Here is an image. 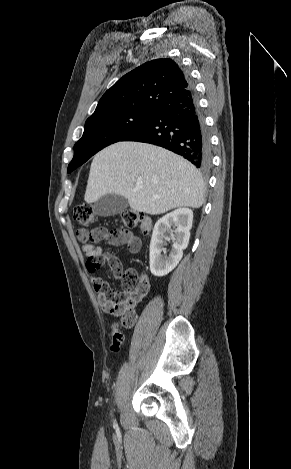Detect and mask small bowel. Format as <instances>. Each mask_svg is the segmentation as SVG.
<instances>
[{
  "mask_svg": "<svg viewBox=\"0 0 291 469\" xmlns=\"http://www.w3.org/2000/svg\"><path fill=\"white\" fill-rule=\"evenodd\" d=\"M77 238L79 242L81 243V251L83 255L87 257V261L90 258L100 257L104 260V263L109 264L112 268L114 267L120 268L121 266L120 261L110 252L104 251L101 247L95 246L94 244H92V242L86 238L84 230L80 229L77 232ZM109 243L112 245L125 244L128 250L132 253L138 252L141 247L140 239L132 233H127L123 241L109 242ZM92 281L94 283V287L96 283H106L104 280L97 278V277H93ZM138 287L143 289L146 294L149 290L148 280L145 277L141 278L139 281ZM97 292H98V302L102 306L103 310L105 312L113 314L114 303L102 292L100 291H97ZM113 292H116V291H113Z\"/></svg>",
  "mask_w": 291,
  "mask_h": 469,
  "instance_id": "c3829d8e",
  "label": "small bowel"
}]
</instances>
